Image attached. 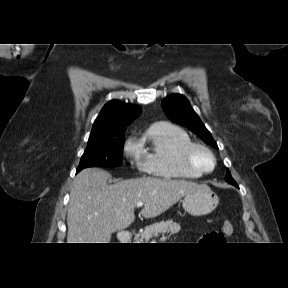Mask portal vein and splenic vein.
<instances>
[{"instance_id": "obj_1", "label": "portal vein and splenic vein", "mask_w": 288, "mask_h": 288, "mask_svg": "<svg viewBox=\"0 0 288 288\" xmlns=\"http://www.w3.org/2000/svg\"><path fill=\"white\" fill-rule=\"evenodd\" d=\"M136 206H137V207H142V206H143V202H138V203L136 204Z\"/></svg>"}]
</instances>
